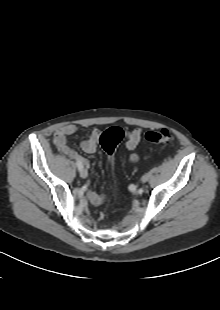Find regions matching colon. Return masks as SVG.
Here are the masks:
<instances>
[{
    "instance_id": "obj_1",
    "label": "colon",
    "mask_w": 220,
    "mask_h": 310,
    "mask_svg": "<svg viewBox=\"0 0 220 310\" xmlns=\"http://www.w3.org/2000/svg\"><path fill=\"white\" fill-rule=\"evenodd\" d=\"M123 138L124 131L119 127H111L100 134L99 143L111 165L114 161L115 148ZM145 139L154 144H168L172 140V135L167 129L150 130L145 133Z\"/></svg>"
}]
</instances>
